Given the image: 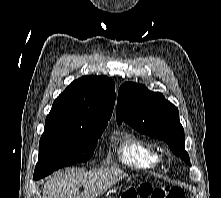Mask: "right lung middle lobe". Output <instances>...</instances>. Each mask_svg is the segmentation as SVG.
I'll return each instance as SVG.
<instances>
[{
	"label": "right lung middle lobe",
	"mask_w": 221,
	"mask_h": 198,
	"mask_svg": "<svg viewBox=\"0 0 221 198\" xmlns=\"http://www.w3.org/2000/svg\"><path fill=\"white\" fill-rule=\"evenodd\" d=\"M104 129L98 127L84 133L44 131L33 179L38 180L60 168L89 160Z\"/></svg>",
	"instance_id": "dd1d6c3e"
}]
</instances>
